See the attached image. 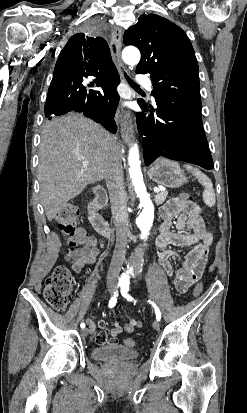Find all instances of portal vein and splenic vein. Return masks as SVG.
<instances>
[{"label":"portal vein and splenic vein","mask_w":247,"mask_h":413,"mask_svg":"<svg viewBox=\"0 0 247 413\" xmlns=\"http://www.w3.org/2000/svg\"><path fill=\"white\" fill-rule=\"evenodd\" d=\"M85 164H87V162H85ZM159 190H160V188H157V186H156V188H154V192H159Z\"/></svg>","instance_id":"18ae733b"}]
</instances>
